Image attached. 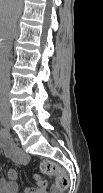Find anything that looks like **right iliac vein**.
<instances>
[{"instance_id":"1","label":"right iliac vein","mask_w":103,"mask_h":193,"mask_svg":"<svg viewBox=\"0 0 103 193\" xmlns=\"http://www.w3.org/2000/svg\"><path fill=\"white\" fill-rule=\"evenodd\" d=\"M3 125H4L5 127H7V128H10V122H8V121H5V122L3 123Z\"/></svg>"}]
</instances>
